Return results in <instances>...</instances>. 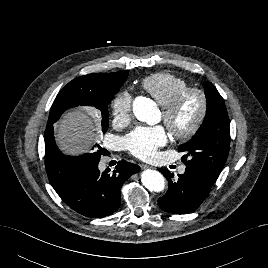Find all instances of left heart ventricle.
Instances as JSON below:
<instances>
[{
  "instance_id": "b2bd125f",
  "label": "left heart ventricle",
  "mask_w": 268,
  "mask_h": 268,
  "mask_svg": "<svg viewBox=\"0 0 268 268\" xmlns=\"http://www.w3.org/2000/svg\"><path fill=\"white\" fill-rule=\"evenodd\" d=\"M199 111V98L195 94L188 95L182 102L173 119V127L186 129L195 119ZM162 118V115H161Z\"/></svg>"
}]
</instances>
